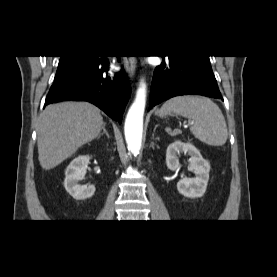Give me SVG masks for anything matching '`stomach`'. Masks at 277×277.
Instances as JSON below:
<instances>
[{
  "mask_svg": "<svg viewBox=\"0 0 277 277\" xmlns=\"http://www.w3.org/2000/svg\"><path fill=\"white\" fill-rule=\"evenodd\" d=\"M156 114H160V110L156 112Z\"/></svg>",
  "mask_w": 277,
  "mask_h": 277,
  "instance_id": "0dacf381",
  "label": "stomach"
}]
</instances>
